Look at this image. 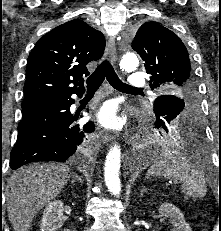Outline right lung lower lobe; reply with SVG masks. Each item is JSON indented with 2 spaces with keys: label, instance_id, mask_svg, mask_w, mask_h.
Masks as SVG:
<instances>
[{
  "label": "right lung lower lobe",
  "instance_id": "98d812e1",
  "mask_svg": "<svg viewBox=\"0 0 221 231\" xmlns=\"http://www.w3.org/2000/svg\"><path fill=\"white\" fill-rule=\"evenodd\" d=\"M84 92L72 93L82 96ZM72 94L46 97L22 106L17 142L11 152L10 167L17 169L38 161L63 162L84 147L86 134L94 131L92 122L71 125Z\"/></svg>",
  "mask_w": 221,
  "mask_h": 231
}]
</instances>
